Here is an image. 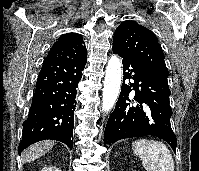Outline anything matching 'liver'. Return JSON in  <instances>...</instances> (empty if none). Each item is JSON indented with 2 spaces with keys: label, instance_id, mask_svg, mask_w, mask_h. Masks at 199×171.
Instances as JSON below:
<instances>
[{
  "label": "liver",
  "instance_id": "1",
  "mask_svg": "<svg viewBox=\"0 0 199 171\" xmlns=\"http://www.w3.org/2000/svg\"><path fill=\"white\" fill-rule=\"evenodd\" d=\"M54 141L45 140L31 145L25 149L21 155L23 163L34 161L46 154L54 146Z\"/></svg>",
  "mask_w": 199,
  "mask_h": 171
}]
</instances>
